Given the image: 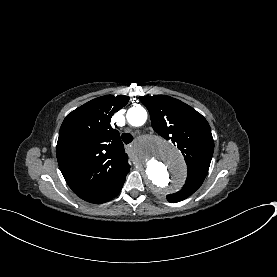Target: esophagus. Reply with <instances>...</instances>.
<instances>
[{"label":"esophagus","instance_id":"34e87169","mask_svg":"<svg viewBox=\"0 0 277 277\" xmlns=\"http://www.w3.org/2000/svg\"><path fill=\"white\" fill-rule=\"evenodd\" d=\"M138 168H142V166H141V165H138Z\"/></svg>","mask_w":277,"mask_h":277}]
</instances>
